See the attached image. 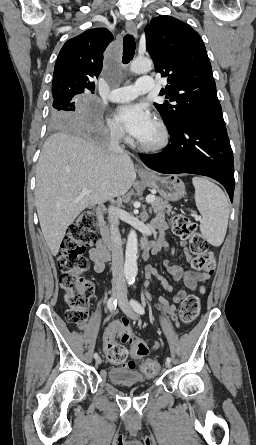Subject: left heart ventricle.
Returning <instances> with one entry per match:
<instances>
[{
	"instance_id": "obj_1",
	"label": "left heart ventricle",
	"mask_w": 256,
	"mask_h": 445,
	"mask_svg": "<svg viewBox=\"0 0 256 445\" xmlns=\"http://www.w3.org/2000/svg\"><path fill=\"white\" fill-rule=\"evenodd\" d=\"M159 137V132L157 130L156 125L154 124L151 131L144 136L142 139H140V141L145 142V143H151L154 142L158 139Z\"/></svg>"
}]
</instances>
